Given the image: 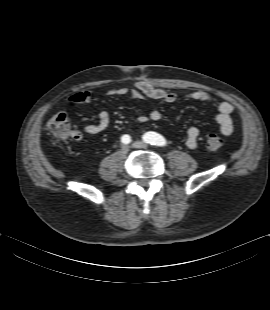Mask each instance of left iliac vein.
I'll return each instance as SVG.
<instances>
[{
    "mask_svg": "<svg viewBox=\"0 0 270 310\" xmlns=\"http://www.w3.org/2000/svg\"><path fill=\"white\" fill-rule=\"evenodd\" d=\"M132 146L138 149H145L148 145L143 141H135L132 143Z\"/></svg>",
    "mask_w": 270,
    "mask_h": 310,
    "instance_id": "1",
    "label": "left iliac vein"
}]
</instances>
